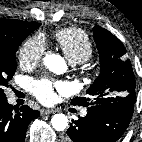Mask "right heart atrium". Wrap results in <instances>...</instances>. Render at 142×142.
I'll use <instances>...</instances> for the list:
<instances>
[{
	"label": "right heart atrium",
	"instance_id": "1",
	"mask_svg": "<svg viewBox=\"0 0 142 142\" xmlns=\"http://www.w3.org/2000/svg\"><path fill=\"white\" fill-rule=\"evenodd\" d=\"M46 49L42 35L36 34L27 38L19 49V61L23 67H34L40 63Z\"/></svg>",
	"mask_w": 142,
	"mask_h": 142
}]
</instances>
